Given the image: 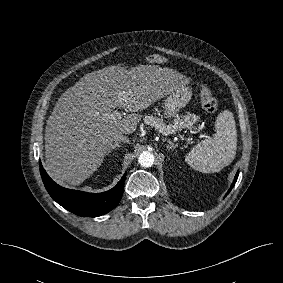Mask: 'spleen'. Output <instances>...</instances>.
I'll return each instance as SVG.
<instances>
[{
  "mask_svg": "<svg viewBox=\"0 0 283 283\" xmlns=\"http://www.w3.org/2000/svg\"><path fill=\"white\" fill-rule=\"evenodd\" d=\"M216 133L207 138L186 155L185 161L193 169L203 173H214L229 165L235 158L237 130L233 113L224 110L216 119Z\"/></svg>",
  "mask_w": 283,
  "mask_h": 283,
  "instance_id": "spleen-1",
  "label": "spleen"
}]
</instances>
